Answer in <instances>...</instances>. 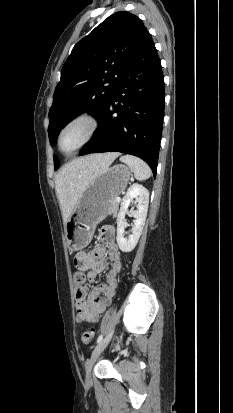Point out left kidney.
<instances>
[{
  "label": "left kidney",
  "mask_w": 233,
  "mask_h": 413,
  "mask_svg": "<svg viewBox=\"0 0 233 413\" xmlns=\"http://www.w3.org/2000/svg\"><path fill=\"white\" fill-rule=\"evenodd\" d=\"M133 199H135V203H137V210H130V213L135 218L134 225L132 234L129 238H125V215ZM148 204V190L140 184L130 186L121 202L120 211L117 216V243L122 252H131L136 247L145 224Z\"/></svg>",
  "instance_id": "5707ae66"
}]
</instances>
